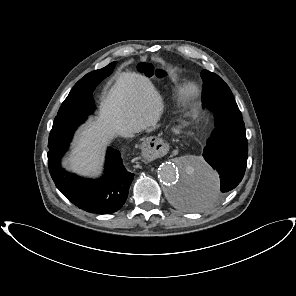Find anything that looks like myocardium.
Here are the masks:
<instances>
[{"label": "myocardium", "mask_w": 296, "mask_h": 296, "mask_svg": "<svg viewBox=\"0 0 296 296\" xmlns=\"http://www.w3.org/2000/svg\"><path fill=\"white\" fill-rule=\"evenodd\" d=\"M198 89L193 83H187L180 89V96L183 100L187 101L197 95Z\"/></svg>", "instance_id": "obj_1"}]
</instances>
